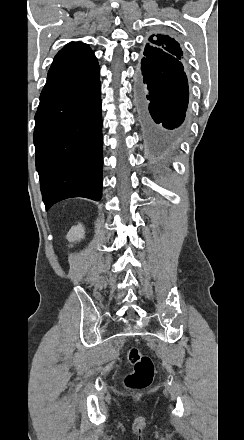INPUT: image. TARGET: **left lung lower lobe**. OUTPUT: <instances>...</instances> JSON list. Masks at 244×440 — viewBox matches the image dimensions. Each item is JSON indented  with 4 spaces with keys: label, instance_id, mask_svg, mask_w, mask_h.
<instances>
[{
    "label": "left lung lower lobe",
    "instance_id": "1",
    "mask_svg": "<svg viewBox=\"0 0 244 440\" xmlns=\"http://www.w3.org/2000/svg\"><path fill=\"white\" fill-rule=\"evenodd\" d=\"M135 90L143 143L153 151L175 148L186 134L189 100L182 62L164 64L143 58Z\"/></svg>",
    "mask_w": 244,
    "mask_h": 440
}]
</instances>
